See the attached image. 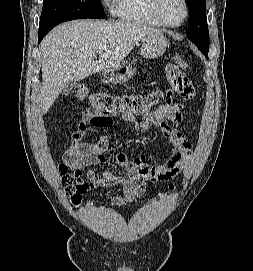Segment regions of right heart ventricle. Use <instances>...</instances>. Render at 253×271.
<instances>
[{"mask_svg":"<svg viewBox=\"0 0 253 271\" xmlns=\"http://www.w3.org/2000/svg\"><path fill=\"white\" fill-rule=\"evenodd\" d=\"M113 10L124 21L163 27L152 12L151 0H114Z\"/></svg>","mask_w":253,"mask_h":271,"instance_id":"obj_1","label":"right heart ventricle"}]
</instances>
